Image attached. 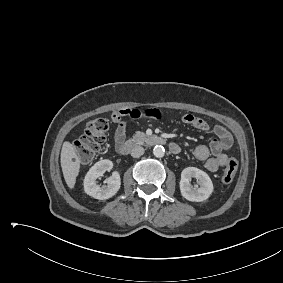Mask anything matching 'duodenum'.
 <instances>
[{
	"mask_svg": "<svg viewBox=\"0 0 283 283\" xmlns=\"http://www.w3.org/2000/svg\"><path fill=\"white\" fill-rule=\"evenodd\" d=\"M144 142L147 144V145H150V146H155V145H165L166 144V139L161 137V136H156V135H153V136H150L148 138H146L144 140ZM140 144V141L137 140V139H132V140H129L127 142H125L124 144H122L119 149H118V152L120 155H127L130 153V151L132 149H134L136 146H138ZM169 148L171 150V152L173 153H177V150L176 148L173 146V144L171 143L169 145Z\"/></svg>",
	"mask_w": 283,
	"mask_h": 283,
	"instance_id": "410a0bca",
	"label": "duodenum"
}]
</instances>
